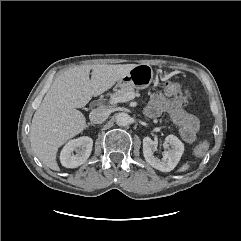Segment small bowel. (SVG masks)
Here are the masks:
<instances>
[{
	"mask_svg": "<svg viewBox=\"0 0 241 241\" xmlns=\"http://www.w3.org/2000/svg\"><path fill=\"white\" fill-rule=\"evenodd\" d=\"M146 112L151 117L168 114L179 127L180 135L188 143L195 141L199 130L197 118L184 108V102L176 98H167L162 93L152 95Z\"/></svg>",
	"mask_w": 241,
	"mask_h": 241,
	"instance_id": "small-bowel-1",
	"label": "small bowel"
}]
</instances>
